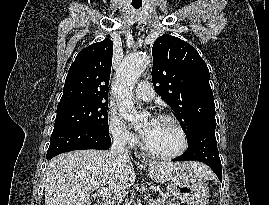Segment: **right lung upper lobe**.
<instances>
[{"label":"right lung upper lobe","mask_w":269,"mask_h":205,"mask_svg":"<svg viewBox=\"0 0 269 205\" xmlns=\"http://www.w3.org/2000/svg\"><path fill=\"white\" fill-rule=\"evenodd\" d=\"M113 42L104 40L81 50L69 68L58 106L108 102Z\"/></svg>","instance_id":"obj_1"}]
</instances>
